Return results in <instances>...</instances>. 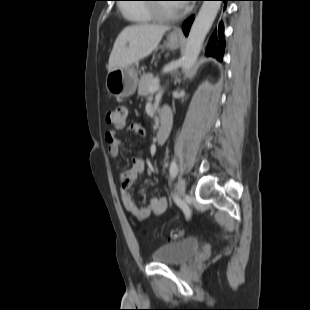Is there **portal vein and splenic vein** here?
<instances>
[{"label":"portal vein and splenic vein","mask_w":310,"mask_h":310,"mask_svg":"<svg viewBox=\"0 0 310 310\" xmlns=\"http://www.w3.org/2000/svg\"><path fill=\"white\" fill-rule=\"evenodd\" d=\"M159 88H160L159 84L156 83V84L152 85V86L149 88V91H150L151 93H154V92L158 91Z\"/></svg>","instance_id":"18ae733b"}]
</instances>
